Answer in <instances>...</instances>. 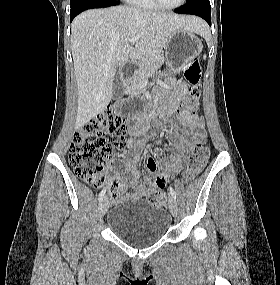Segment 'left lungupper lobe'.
I'll use <instances>...</instances> for the list:
<instances>
[{
	"label": "left lung upper lobe",
	"instance_id": "1",
	"mask_svg": "<svg viewBox=\"0 0 280 285\" xmlns=\"http://www.w3.org/2000/svg\"><path fill=\"white\" fill-rule=\"evenodd\" d=\"M193 1H195V0H187L186 3H190V2H193Z\"/></svg>",
	"mask_w": 280,
	"mask_h": 285
}]
</instances>
